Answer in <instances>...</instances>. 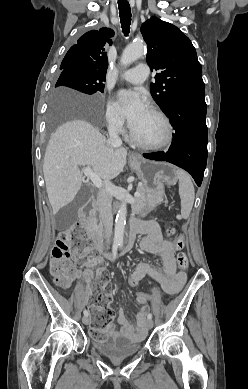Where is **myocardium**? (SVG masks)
Instances as JSON below:
<instances>
[{"mask_svg":"<svg viewBox=\"0 0 248 389\" xmlns=\"http://www.w3.org/2000/svg\"><path fill=\"white\" fill-rule=\"evenodd\" d=\"M148 110L151 113H153L154 115H156L162 121V123L164 125V129H165V133H164L163 138L160 141L155 142V143L144 142V141H141L140 139H138L134 135L131 128L129 130V138L135 145H137L138 147H140L142 149L159 150V149L165 148L168 145H170L173 141L174 131H173L172 123H171L169 117L158 107L150 105V106H148Z\"/></svg>","mask_w":248,"mask_h":389,"instance_id":"1","label":"myocardium"}]
</instances>
